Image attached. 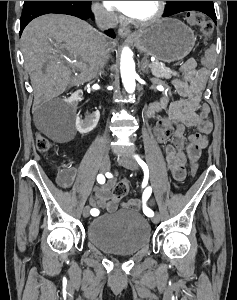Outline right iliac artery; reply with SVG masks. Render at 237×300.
<instances>
[{"label":"right iliac artery","instance_id":"right-iliac-artery-1","mask_svg":"<svg viewBox=\"0 0 237 300\" xmlns=\"http://www.w3.org/2000/svg\"><path fill=\"white\" fill-rule=\"evenodd\" d=\"M97 181H98V183L99 184H104L105 183V177H104V175L103 174H99L98 176H97ZM92 212H94V213H99V211L97 210V209H91V211H90V213H92Z\"/></svg>","mask_w":237,"mask_h":300}]
</instances>
